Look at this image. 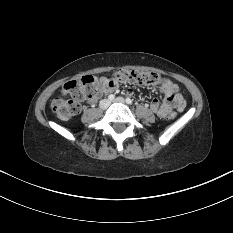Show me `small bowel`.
Listing matches in <instances>:
<instances>
[{"mask_svg":"<svg viewBox=\"0 0 233 233\" xmlns=\"http://www.w3.org/2000/svg\"><path fill=\"white\" fill-rule=\"evenodd\" d=\"M99 80V90L94 96L89 98L90 103H94L101 94L111 93L118 87V81L113 78L102 77ZM161 92L164 95V101L160 102L159 100L155 99L150 105L151 110L159 117L164 118L170 116L174 109L177 111H182L185 108V101L179 93V88L175 83L168 81L167 83L163 84ZM127 93L131 95L132 90H128Z\"/></svg>","mask_w":233,"mask_h":233,"instance_id":"small-bowel-1","label":"small bowel"}]
</instances>
